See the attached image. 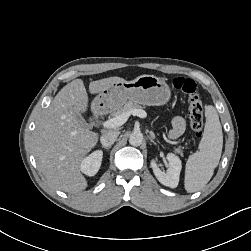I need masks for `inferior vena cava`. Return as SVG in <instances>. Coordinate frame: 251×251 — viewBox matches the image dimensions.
<instances>
[{"instance_id": "602c4592", "label": "inferior vena cava", "mask_w": 251, "mask_h": 251, "mask_svg": "<svg viewBox=\"0 0 251 251\" xmlns=\"http://www.w3.org/2000/svg\"><path fill=\"white\" fill-rule=\"evenodd\" d=\"M119 136V132L117 131H109L103 134L100 138L101 144L106 147H110Z\"/></svg>"}]
</instances>
